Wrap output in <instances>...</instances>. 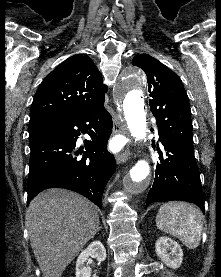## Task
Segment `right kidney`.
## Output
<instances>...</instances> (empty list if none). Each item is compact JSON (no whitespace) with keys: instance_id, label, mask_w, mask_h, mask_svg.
Returning a JSON list of instances; mask_svg holds the SVG:
<instances>
[{"instance_id":"ca27d5eb","label":"right kidney","mask_w":221,"mask_h":277,"mask_svg":"<svg viewBox=\"0 0 221 277\" xmlns=\"http://www.w3.org/2000/svg\"><path fill=\"white\" fill-rule=\"evenodd\" d=\"M89 256L96 258L99 263L106 259V249L100 241H93L81 252L76 262V277H91V271L85 266ZM92 277H98L94 274Z\"/></svg>"}]
</instances>
